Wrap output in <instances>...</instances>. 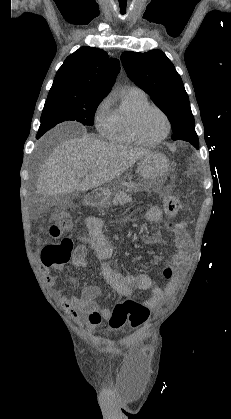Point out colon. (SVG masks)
<instances>
[{
    "instance_id": "1",
    "label": "colon",
    "mask_w": 231,
    "mask_h": 419,
    "mask_svg": "<svg viewBox=\"0 0 231 419\" xmlns=\"http://www.w3.org/2000/svg\"><path fill=\"white\" fill-rule=\"evenodd\" d=\"M181 202L174 195H167L164 199V213L169 219V228L174 229L173 219L181 210ZM73 227L69 215L62 214L49 227V234L52 238H59L64 232L70 231ZM73 251V242L69 238H63L58 242L46 245L42 249L41 257L45 266L61 265L67 263ZM162 280H173L174 272L170 263H165L161 272ZM148 317L147 309L140 303L125 300L117 303L111 310L108 323L111 329L121 330L126 323L134 328L142 325Z\"/></svg>"
}]
</instances>
